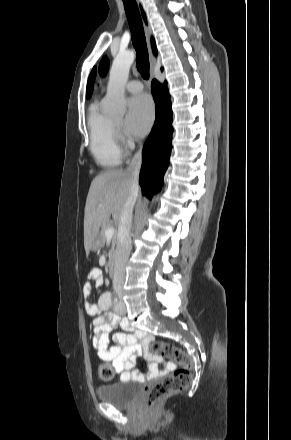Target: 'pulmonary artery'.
<instances>
[{
    "label": "pulmonary artery",
    "mask_w": 291,
    "mask_h": 440,
    "mask_svg": "<svg viewBox=\"0 0 291 440\" xmlns=\"http://www.w3.org/2000/svg\"><path fill=\"white\" fill-rule=\"evenodd\" d=\"M126 88L128 91H130L132 93H138V92L142 91L143 84L138 80H132L127 83Z\"/></svg>",
    "instance_id": "pulmonary-artery-1"
}]
</instances>
